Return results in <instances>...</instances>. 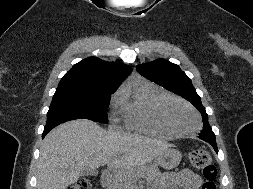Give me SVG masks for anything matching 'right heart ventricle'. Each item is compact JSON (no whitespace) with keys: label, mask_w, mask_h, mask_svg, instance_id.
Segmentation results:
<instances>
[{"label":"right heart ventricle","mask_w":253,"mask_h":189,"mask_svg":"<svg viewBox=\"0 0 253 189\" xmlns=\"http://www.w3.org/2000/svg\"><path fill=\"white\" fill-rule=\"evenodd\" d=\"M167 95L157 87L140 83L123 91V117L129 130L169 137L171 134L158 126L153 109L159 99Z\"/></svg>","instance_id":"e07e8e85"}]
</instances>
